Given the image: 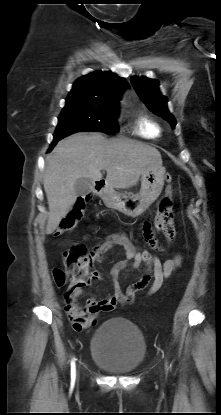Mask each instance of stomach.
Segmentation results:
<instances>
[{"instance_id": "1", "label": "stomach", "mask_w": 221, "mask_h": 415, "mask_svg": "<svg viewBox=\"0 0 221 415\" xmlns=\"http://www.w3.org/2000/svg\"><path fill=\"white\" fill-rule=\"evenodd\" d=\"M165 168L152 166L141 175V188L137 194L117 193L107 189L102 192V198L107 207L119 212L137 217L143 214L159 197L164 186Z\"/></svg>"}]
</instances>
